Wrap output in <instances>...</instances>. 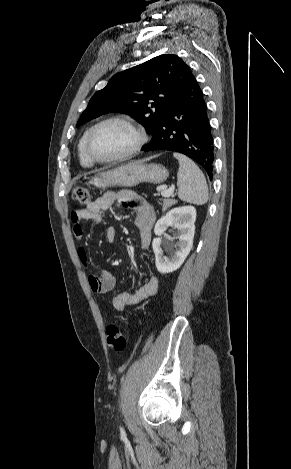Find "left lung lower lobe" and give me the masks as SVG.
I'll return each instance as SVG.
<instances>
[{
  "instance_id": "1",
  "label": "left lung lower lobe",
  "mask_w": 291,
  "mask_h": 469,
  "mask_svg": "<svg viewBox=\"0 0 291 469\" xmlns=\"http://www.w3.org/2000/svg\"><path fill=\"white\" fill-rule=\"evenodd\" d=\"M149 150H169L182 153L213 177L214 144L203 93L193 74L170 103L152 135Z\"/></svg>"
}]
</instances>
